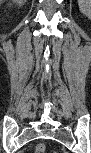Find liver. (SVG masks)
Wrapping results in <instances>:
<instances>
[{
  "instance_id": "1",
  "label": "liver",
  "mask_w": 91,
  "mask_h": 153,
  "mask_svg": "<svg viewBox=\"0 0 91 153\" xmlns=\"http://www.w3.org/2000/svg\"><path fill=\"white\" fill-rule=\"evenodd\" d=\"M19 4H22L23 2L22 1H17Z\"/></svg>"
}]
</instances>
